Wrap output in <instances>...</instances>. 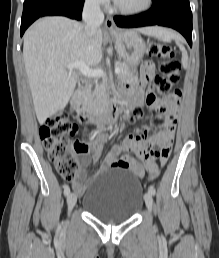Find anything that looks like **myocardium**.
<instances>
[{"mask_svg": "<svg viewBox=\"0 0 219 258\" xmlns=\"http://www.w3.org/2000/svg\"><path fill=\"white\" fill-rule=\"evenodd\" d=\"M152 4H153V0H146L145 3L140 7L125 8L120 6L116 1H114V9L123 15L132 16V15H138L146 12L151 8Z\"/></svg>", "mask_w": 219, "mask_h": 258, "instance_id": "myocardium-1", "label": "myocardium"}]
</instances>
